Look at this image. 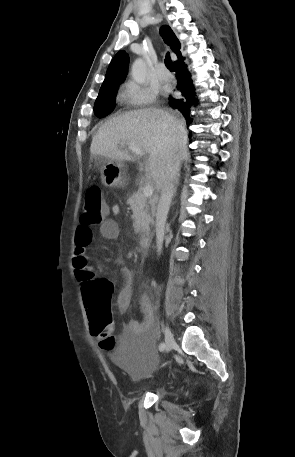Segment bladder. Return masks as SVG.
Instances as JSON below:
<instances>
[{
	"instance_id": "bladder-1",
	"label": "bladder",
	"mask_w": 295,
	"mask_h": 457,
	"mask_svg": "<svg viewBox=\"0 0 295 457\" xmlns=\"http://www.w3.org/2000/svg\"><path fill=\"white\" fill-rule=\"evenodd\" d=\"M122 346L129 347L122 368L132 382L140 381L145 373H152L154 378L165 374L158 365L157 338H123Z\"/></svg>"
}]
</instances>
